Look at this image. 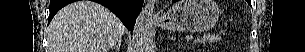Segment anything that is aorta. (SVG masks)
Segmentation results:
<instances>
[{"instance_id":"aorta-1","label":"aorta","mask_w":305,"mask_h":52,"mask_svg":"<svg viewBox=\"0 0 305 52\" xmlns=\"http://www.w3.org/2000/svg\"><path fill=\"white\" fill-rule=\"evenodd\" d=\"M154 12V4L147 3L139 13L132 34L134 52H152L150 25Z\"/></svg>"}]
</instances>
